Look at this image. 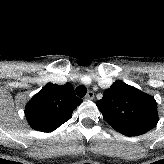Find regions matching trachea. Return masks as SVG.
<instances>
[{
  "instance_id": "trachea-1",
  "label": "trachea",
  "mask_w": 164,
  "mask_h": 164,
  "mask_svg": "<svg viewBox=\"0 0 164 164\" xmlns=\"http://www.w3.org/2000/svg\"><path fill=\"white\" fill-rule=\"evenodd\" d=\"M86 93H87V88H86L84 85H79V86L76 88V94H77L79 97H84Z\"/></svg>"
}]
</instances>
